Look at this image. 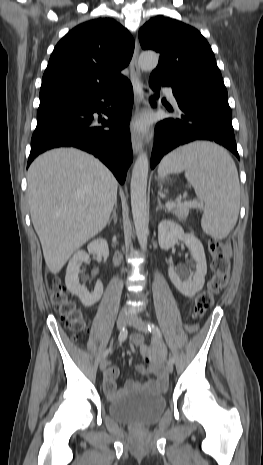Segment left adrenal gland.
<instances>
[{
	"label": "left adrenal gland",
	"instance_id": "a2214340",
	"mask_svg": "<svg viewBox=\"0 0 263 465\" xmlns=\"http://www.w3.org/2000/svg\"><path fill=\"white\" fill-rule=\"evenodd\" d=\"M157 201H158V206L156 208V211L164 209V211L167 212V209L162 205L161 200H160L159 197L157 198Z\"/></svg>",
	"mask_w": 263,
	"mask_h": 465
}]
</instances>
